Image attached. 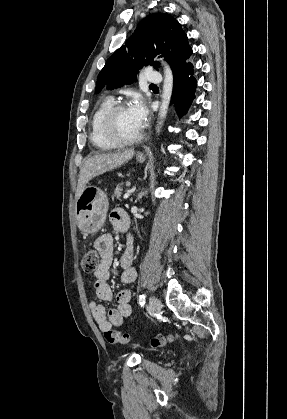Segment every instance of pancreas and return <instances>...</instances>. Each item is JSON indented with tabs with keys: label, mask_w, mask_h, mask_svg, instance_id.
<instances>
[{
	"label": "pancreas",
	"mask_w": 287,
	"mask_h": 419,
	"mask_svg": "<svg viewBox=\"0 0 287 419\" xmlns=\"http://www.w3.org/2000/svg\"><path fill=\"white\" fill-rule=\"evenodd\" d=\"M122 185H123V183H120L116 186V188L114 190V194L112 195V200L120 199V196H121L122 190H123Z\"/></svg>",
	"instance_id": "pancreas-1"
}]
</instances>
